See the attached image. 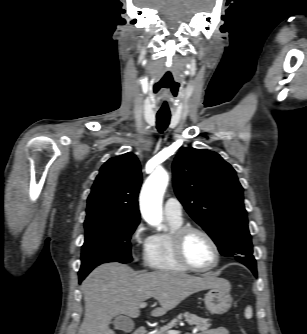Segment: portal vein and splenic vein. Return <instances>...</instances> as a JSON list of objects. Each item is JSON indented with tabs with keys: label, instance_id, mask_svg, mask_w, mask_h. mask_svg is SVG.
Wrapping results in <instances>:
<instances>
[{
	"label": "portal vein and splenic vein",
	"instance_id": "portal-vein-and-splenic-vein-1",
	"mask_svg": "<svg viewBox=\"0 0 307 334\" xmlns=\"http://www.w3.org/2000/svg\"><path fill=\"white\" fill-rule=\"evenodd\" d=\"M146 306H147V304L145 302H143L139 305L140 308H145ZM166 333L167 334H180L181 331H179V330H168Z\"/></svg>",
	"mask_w": 307,
	"mask_h": 334
}]
</instances>
